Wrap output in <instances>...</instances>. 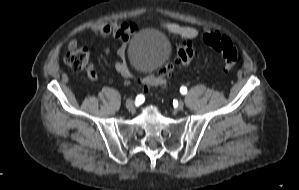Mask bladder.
I'll return each mask as SVG.
<instances>
[{
  "label": "bladder",
  "instance_id": "31cf9c89",
  "mask_svg": "<svg viewBox=\"0 0 299 190\" xmlns=\"http://www.w3.org/2000/svg\"><path fill=\"white\" fill-rule=\"evenodd\" d=\"M171 47L157 31L147 30L136 34L128 47V59L136 73L152 74L169 57Z\"/></svg>",
  "mask_w": 299,
  "mask_h": 190
}]
</instances>
